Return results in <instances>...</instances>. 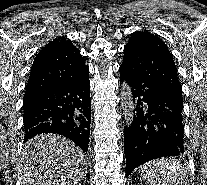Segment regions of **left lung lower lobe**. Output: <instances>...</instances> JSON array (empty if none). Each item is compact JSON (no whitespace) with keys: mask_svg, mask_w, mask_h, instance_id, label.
Here are the masks:
<instances>
[{"mask_svg":"<svg viewBox=\"0 0 207 185\" xmlns=\"http://www.w3.org/2000/svg\"><path fill=\"white\" fill-rule=\"evenodd\" d=\"M119 70L135 102L133 122L124 130L128 177L145 162L185 152L183 101L152 78L132 73L122 64Z\"/></svg>","mask_w":207,"mask_h":185,"instance_id":"1","label":"left lung lower lobe"}]
</instances>
